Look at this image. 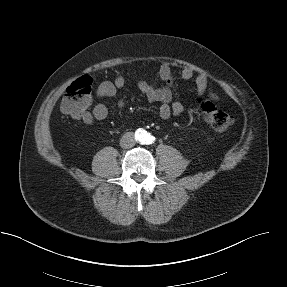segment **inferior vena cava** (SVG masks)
<instances>
[{"label":"inferior vena cava","instance_id":"602c4592","mask_svg":"<svg viewBox=\"0 0 287 287\" xmlns=\"http://www.w3.org/2000/svg\"><path fill=\"white\" fill-rule=\"evenodd\" d=\"M134 144H135L134 137L133 134L130 132L124 134L123 137L121 138L120 145L123 148H131L134 146Z\"/></svg>","mask_w":287,"mask_h":287}]
</instances>
